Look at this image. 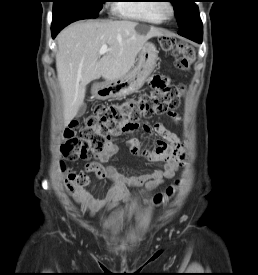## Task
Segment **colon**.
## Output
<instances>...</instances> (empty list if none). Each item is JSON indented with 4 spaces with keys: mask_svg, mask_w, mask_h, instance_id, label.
Here are the masks:
<instances>
[{
    "mask_svg": "<svg viewBox=\"0 0 258 275\" xmlns=\"http://www.w3.org/2000/svg\"><path fill=\"white\" fill-rule=\"evenodd\" d=\"M160 46L164 52L172 53L175 65L181 70L189 69L194 60V51L186 42L174 36L160 37ZM152 90L137 98L129 99L121 104L101 105L95 108L94 113L84 120L83 127L77 130V123L63 133L61 151L65 159H85L91 153L103 150L105 144L112 137L121 132L132 131L138 128L142 118L156 114H170L179 105L183 92L181 86H170L160 77H153L150 81ZM65 184L70 194L88 183L87 176L82 172L66 170ZM176 180L164 192L154 197V203L160 205L171 199L179 187Z\"/></svg>",
    "mask_w": 258,
    "mask_h": 275,
    "instance_id": "5ec220e1",
    "label": "colon"
}]
</instances>
